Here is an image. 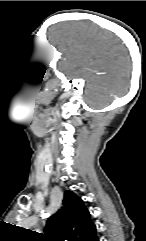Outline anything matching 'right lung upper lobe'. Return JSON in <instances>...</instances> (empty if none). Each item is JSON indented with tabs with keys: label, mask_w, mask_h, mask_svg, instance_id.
<instances>
[{
	"label": "right lung upper lobe",
	"mask_w": 146,
	"mask_h": 241,
	"mask_svg": "<svg viewBox=\"0 0 146 241\" xmlns=\"http://www.w3.org/2000/svg\"><path fill=\"white\" fill-rule=\"evenodd\" d=\"M46 241H97L96 226L82 199L65 191L62 207L46 223Z\"/></svg>",
	"instance_id": "right-lung-upper-lobe-1"
}]
</instances>
